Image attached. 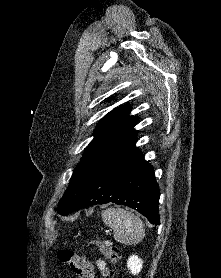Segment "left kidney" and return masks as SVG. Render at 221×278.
<instances>
[{
    "instance_id": "obj_1",
    "label": "left kidney",
    "mask_w": 221,
    "mask_h": 278,
    "mask_svg": "<svg viewBox=\"0 0 221 278\" xmlns=\"http://www.w3.org/2000/svg\"><path fill=\"white\" fill-rule=\"evenodd\" d=\"M143 261L138 258L136 255H132L129 257L127 261V268L134 275L138 274L142 269Z\"/></svg>"
}]
</instances>
